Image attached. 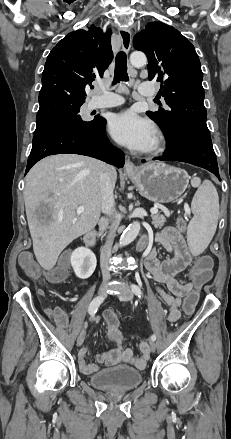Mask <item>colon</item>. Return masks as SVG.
I'll return each mask as SVG.
<instances>
[{"instance_id": "1", "label": "colon", "mask_w": 231, "mask_h": 439, "mask_svg": "<svg viewBox=\"0 0 231 439\" xmlns=\"http://www.w3.org/2000/svg\"><path fill=\"white\" fill-rule=\"evenodd\" d=\"M177 226L181 231H184L187 226L186 220L184 218L178 219ZM20 264L29 275L33 277L41 276L42 272L30 254L22 255L20 258ZM212 267L213 260L210 256L201 255L196 258L191 270V280L194 287L192 288V291H187V293H184L183 295L182 311L185 317L195 316L198 296L201 295L204 287L209 285V282L212 281ZM68 269L69 260L67 256H64L55 267L46 272L45 276L51 283H61L67 278Z\"/></svg>"}]
</instances>
